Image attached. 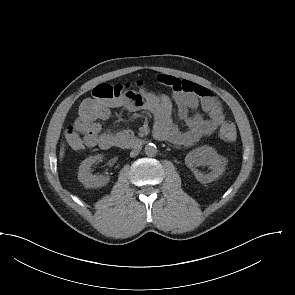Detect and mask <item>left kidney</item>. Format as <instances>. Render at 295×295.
<instances>
[{
    "label": "left kidney",
    "mask_w": 295,
    "mask_h": 295,
    "mask_svg": "<svg viewBox=\"0 0 295 295\" xmlns=\"http://www.w3.org/2000/svg\"><path fill=\"white\" fill-rule=\"evenodd\" d=\"M185 164L192 171L196 179L201 183H210L218 178L225 169V162L222 156H220L217 151L210 146L204 145L190 151L185 157ZM208 165L211 168V172L208 174H202L196 170V166Z\"/></svg>",
    "instance_id": "obj_1"
}]
</instances>
